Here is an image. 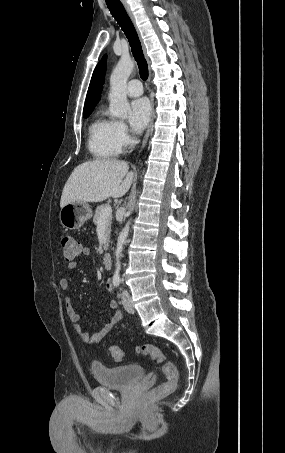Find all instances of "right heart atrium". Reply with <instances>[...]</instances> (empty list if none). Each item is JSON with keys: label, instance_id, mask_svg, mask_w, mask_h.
<instances>
[{"label": "right heart atrium", "instance_id": "1", "mask_svg": "<svg viewBox=\"0 0 285 453\" xmlns=\"http://www.w3.org/2000/svg\"><path fill=\"white\" fill-rule=\"evenodd\" d=\"M116 136L121 149L131 142L129 130L123 122H116Z\"/></svg>", "mask_w": 285, "mask_h": 453}]
</instances>
